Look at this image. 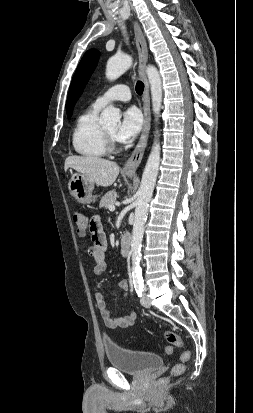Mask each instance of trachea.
Segmentation results:
<instances>
[{
    "instance_id": "1",
    "label": "trachea",
    "mask_w": 253,
    "mask_h": 413,
    "mask_svg": "<svg viewBox=\"0 0 253 413\" xmlns=\"http://www.w3.org/2000/svg\"><path fill=\"white\" fill-rule=\"evenodd\" d=\"M135 89H136V92H137L138 95H142L143 90H144L143 82L142 81H137Z\"/></svg>"
}]
</instances>
